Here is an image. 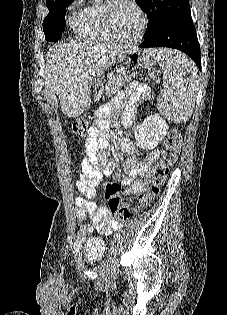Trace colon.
Returning a JSON list of instances; mask_svg holds the SVG:
<instances>
[{
  "label": "colon",
  "mask_w": 227,
  "mask_h": 315,
  "mask_svg": "<svg viewBox=\"0 0 227 315\" xmlns=\"http://www.w3.org/2000/svg\"><path fill=\"white\" fill-rule=\"evenodd\" d=\"M144 60L135 59L134 63H142ZM149 65V63H146ZM153 77L158 80V71L152 70ZM89 119L86 117L77 118L72 124L73 134L77 137H86L90 131ZM181 144V134L177 129H171L164 143V149L159 161L154 165L151 172V180L147 188L139 193L134 212L146 208L160 193L171 167L176 163ZM120 185L116 181H110L105 185L104 197L108 201V208L120 223L127 222L131 218V211L124 206L120 196Z\"/></svg>",
  "instance_id": "5ec220e1"
}]
</instances>
